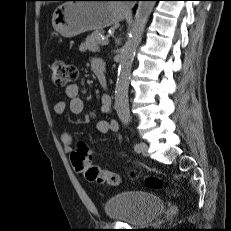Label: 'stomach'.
Here are the masks:
<instances>
[{"instance_id": "obj_1", "label": "stomach", "mask_w": 231, "mask_h": 231, "mask_svg": "<svg viewBox=\"0 0 231 231\" xmlns=\"http://www.w3.org/2000/svg\"><path fill=\"white\" fill-rule=\"evenodd\" d=\"M125 17L119 2L102 0H72L58 6L52 25L63 37L71 38L88 31L102 30Z\"/></svg>"}]
</instances>
